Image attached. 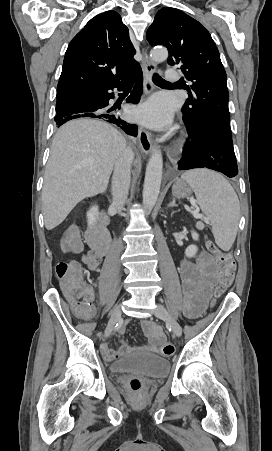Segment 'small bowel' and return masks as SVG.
Listing matches in <instances>:
<instances>
[{"label":"small bowel","mask_w":272,"mask_h":451,"mask_svg":"<svg viewBox=\"0 0 272 451\" xmlns=\"http://www.w3.org/2000/svg\"><path fill=\"white\" fill-rule=\"evenodd\" d=\"M81 261L89 271H96L101 265L102 255H98L94 250L90 249L82 254ZM214 262L215 256L208 252L200 251L196 256L195 262L188 259H182L178 266L183 289L182 309L184 313L190 317L198 316L205 306L207 297L205 292V282L208 271ZM142 327L149 337L148 344L133 347L128 346L122 341L117 349H111L107 345H103L102 354L104 358L107 361H112L131 352L157 350L158 346L164 342L162 331L159 327L148 321L143 322Z\"/></svg>","instance_id":"small-bowel-1"}]
</instances>
